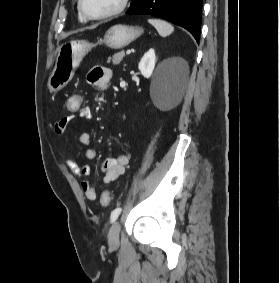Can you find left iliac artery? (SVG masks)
<instances>
[{
	"mask_svg": "<svg viewBox=\"0 0 280 283\" xmlns=\"http://www.w3.org/2000/svg\"><path fill=\"white\" fill-rule=\"evenodd\" d=\"M121 211H122V208H120V207H118V208H116L112 211L111 217H110L111 223H114L118 219Z\"/></svg>",
	"mask_w": 280,
	"mask_h": 283,
	"instance_id": "44dca946",
	"label": "left iliac artery"
}]
</instances>
